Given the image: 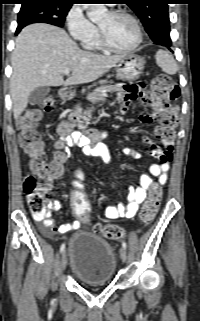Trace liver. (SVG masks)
I'll use <instances>...</instances> for the list:
<instances>
[{"label": "liver", "mask_w": 200, "mask_h": 321, "mask_svg": "<svg viewBox=\"0 0 200 321\" xmlns=\"http://www.w3.org/2000/svg\"><path fill=\"white\" fill-rule=\"evenodd\" d=\"M124 58L81 50L61 28L36 23L25 27L16 39L12 53L10 92L13 115L18 119L27 107L30 94L38 87L90 83ZM69 69L71 76L63 80Z\"/></svg>", "instance_id": "1"}]
</instances>
